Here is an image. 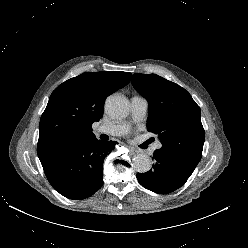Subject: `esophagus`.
Wrapping results in <instances>:
<instances>
[{
  "label": "esophagus",
  "mask_w": 248,
  "mask_h": 248,
  "mask_svg": "<svg viewBox=\"0 0 248 248\" xmlns=\"http://www.w3.org/2000/svg\"><path fill=\"white\" fill-rule=\"evenodd\" d=\"M128 152L131 154V155H136V154H138V150L137 149H135V148H133V147H129L128 148Z\"/></svg>",
  "instance_id": "obj_1"
}]
</instances>
